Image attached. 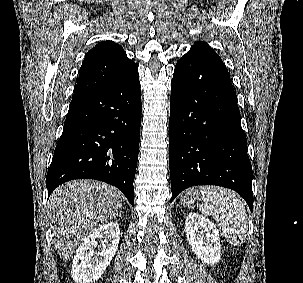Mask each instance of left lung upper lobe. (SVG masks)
<instances>
[{
  "instance_id": "left-lung-upper-lobe-1",
  "label": "left lung upper lobe",
  "mask_w": 303,
  "mask_h": 283,
  "mask_svg": "<svg viewBox=\"0 0 303 283\" xmlns=\"http://www.w3.org/2000/svg\"><path fill=\"white\" fill-rule=\"evenodd\" d=\"M196 49H211V48L204 42H197L193 46H191L190 51Z\"/></svg>"
}]
</instances>
